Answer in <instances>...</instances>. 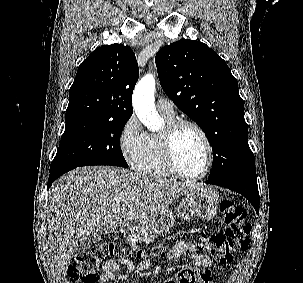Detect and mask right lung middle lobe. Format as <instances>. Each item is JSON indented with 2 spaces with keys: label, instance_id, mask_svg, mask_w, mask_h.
<instances>
[{
  "label": "right lung middle lobe",
  "instance_id": "1",
  "mask_svg": "<svg viewBox=\"0 0 303 283\" xmlns=\"http://www.w3.org/2000/svg\"><path fill=\"white\" fill-rule=\"evenodd\" d=\"M128 120L91 116L65 119V131L50 171L72 170L87 165L127 168L120 147L121 132Z\"/></svg>",
  "mask_w": 303,
  "mask_h": 283
}]
</instances>
